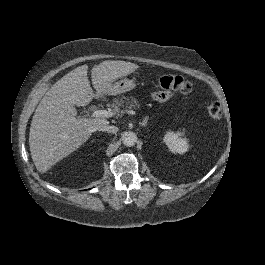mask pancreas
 I'll return each instance as SVG.
<instances>
[{"mask_svg":"<svg viewBox=\"0 0 265 265\" xmlns=\"http://www.w3.org/2000/svg\"><path fill=\"white\" fill-rule=\"evenodd\" d=\"M131 102H129V98L123 96V97H117L113 99V103L111 104V107L113 108L114 113H125L126 110H122L121 108H124V100H127L126 102V108L131 109L132 107L135 108L138 106V102L133 97L130 98Z\"/></svg>","mask_w":265,"mask_h":265,"instance_id":"1","label":"pancreas"}]
</instances>
